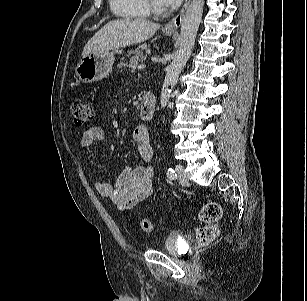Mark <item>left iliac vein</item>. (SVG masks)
<instances>
[{
  "label": "left iliac vein",
  "instance_id": "obj_1",
  "mask_svg": "<svg viewBox=\"0 0 307 301\" xmlns=\"http://www.w3.org/2000/svg\"><path fill=\"white\" fill-rule=\"evenodd\" d=\"M175 170L176 173L178 175V180L182 185H188L189 184V180L187 175L185 174V169L184 166H182L181 164H178L175 166Z\"/></svg>",
  "mask_w": 307,
  "mask_h": 301
}]
</instances>
